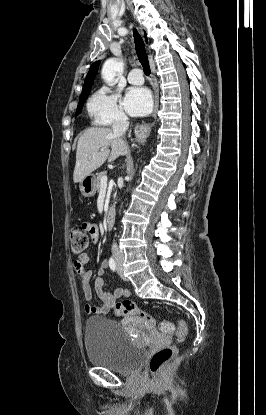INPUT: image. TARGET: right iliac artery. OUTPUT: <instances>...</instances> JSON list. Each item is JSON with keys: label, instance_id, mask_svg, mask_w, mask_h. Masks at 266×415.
Instances as JSON below:
<instances>
[{"label": "right iliac artery", "instance_id": "right-iliac-artery-1", "mask_svg": "<svg viewBox=\"0 0 266 415\" xmlns=\"http://www.w3.org/2000/svg\"><path fill=\"white\" fill-rule=\"evenodd\" d=\"M109 267H110V269L112 271H115L116 270V262H115V260L113 258H110L109 259Z\"/></svg>", "mask_w": 266, "mask_h": 415}]
</instances>
